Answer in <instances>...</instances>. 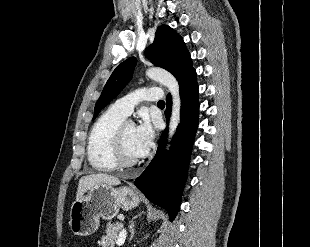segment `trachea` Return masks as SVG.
I'll list each match as a JSON object with an SVG mask.
<instances>
[{
	"label": "trachea",
	"mask_w": 310,
	"mask_h": 247,
	"mask_svg": "<svg viewBox=\"0 0 310 247\" xmlns=\"http://www.w3.org/2000/svg\"><path fill=\"white\" fill-rule=\"evenodd\" d=\"M158 105H165V102H164L163 100H160V101L158 102Z\"/></svg>",
	"instance_id": "obj_1"
}]
</instances>
